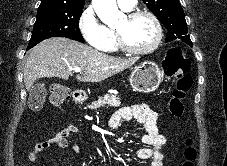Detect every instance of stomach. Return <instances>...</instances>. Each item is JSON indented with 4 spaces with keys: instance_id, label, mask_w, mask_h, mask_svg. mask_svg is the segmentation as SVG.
Listing matches in <instances>:
<instances>
[{
    "instance_id": "1",
    "label": "stomach",
    "mask_w": 227,
    "mask_h": 166,
    "mask_svg": "<svg viewBox=\"0 0 227 166\" xmlns=\"http://www.w3.org/2000/svg\"><path fill=\"white\" fill-rule=\"evenodd\" d=\"M163 73L152 61H145L135 67L130 76V84L137 92L150 93L160 85Z\"/></svg>"
}]
</instances>
